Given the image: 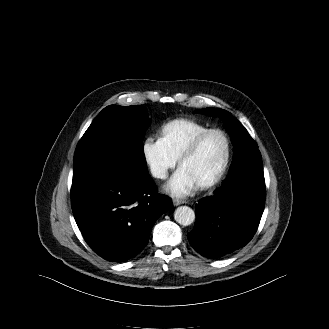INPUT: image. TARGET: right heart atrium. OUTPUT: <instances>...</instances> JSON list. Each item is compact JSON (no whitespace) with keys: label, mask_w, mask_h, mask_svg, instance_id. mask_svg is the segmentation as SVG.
Returning a JSON list of instances; mask_svg holds the SVG:
<instances>
[{"label":"right heart atrium","mask_w":329,"mask_h":329,"mask_svg":"<svg viewBox=\"0 0 329 329\" xmlns=\"http://www.w3.org/2000/svg\"><path fill=\"white\" fill-rule=\"evenodd\" d=\"M142 153L151 174L157 179H165L177 164V159L160 138H145L142 143Z\"/></svg>","instance_id":"right-heart-atrium-1"}]
</instances>
